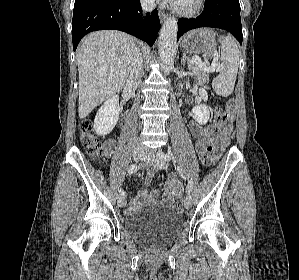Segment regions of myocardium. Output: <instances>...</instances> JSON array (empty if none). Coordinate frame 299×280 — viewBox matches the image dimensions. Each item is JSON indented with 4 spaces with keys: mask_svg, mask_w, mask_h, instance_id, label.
<instances>
[{
    "mask_svg": "<svg viewBox=\"0 0 299 280\" xmlns=\"http://www.w3.org/2000/svg\"><path fill=\"white\" fill-rule=\"evenodd\" d=\"M205 0H196L195 4L189 8H184L179 6L178 4H173L172 9L178 15L184 17H191L198 14L204 7Z\"/></svg>",
    "mask_w": 299,
    "mask_h": 280,
    "instance_id": "f54148a6",
    "label": "myocardium"
}]
</instances>
